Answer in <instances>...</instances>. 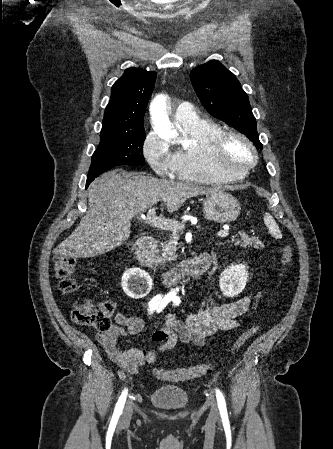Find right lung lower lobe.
Wrapping results in <instances>:
<instances>
[{"instance_id": "1", "label": "right lung lower lobe", "mask_w": 333, "mask_h": 449, "mask_svg": "<svg viewBox=\"0 0 333 449\" xmlns=\"http://www.w3.org/2000/svg\"><path fill=\"white\" fill-rule=\"evenodd\" d=\"M95 178H93V177H88L87 178V181H86V188H87V186L94 180Z\"/></svg>"}]
</instances>
